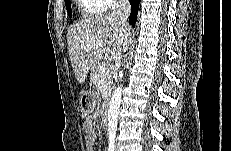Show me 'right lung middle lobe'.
<instances>
[{
  "label": "right lung middle lobe",
  "instance_id": "right-lung-middle-lobe-1",
  "mask_svg": "<svg viewBox=\"0 0 231 151\" xmlns=\"http://www.w3.org/2000/svg\"><path fill=\"white\" fill-rule=\"evenodd\" d=\"M65 5H66L67 12H68V16L71 18L72 10H71V2H70V0L68 2H66Z\"/></svg>",
  "mask_w": 231,
  "mask_h": 151
}]
</instances>
